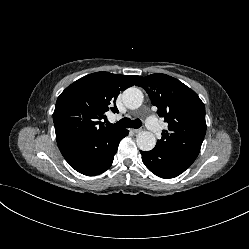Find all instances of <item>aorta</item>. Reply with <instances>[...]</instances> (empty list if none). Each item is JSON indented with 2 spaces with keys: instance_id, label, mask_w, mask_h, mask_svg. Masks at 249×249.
I'll list each match as a JSON object with an SVG mask.
<instances>
[{
  "instance_id": "obj_1",
  "label": "aorta",
  "mask_w": 249,
  "mask_h": 249,
  "mask_svg": "<svg viewBox=\"0 0 249 249\" xmlns=\"http://www.w3.org/2000/svg\"><path fill=\"white\" fill-rule=\"evenodd\" d=\"M143 93L136 87H130L123 92V102L129 109H137L143 103ZM136 143L140 150L150 151L156 145V137L148 131L140 132L136 137Z\"/></svg>"
}]
</instances>
